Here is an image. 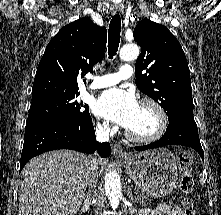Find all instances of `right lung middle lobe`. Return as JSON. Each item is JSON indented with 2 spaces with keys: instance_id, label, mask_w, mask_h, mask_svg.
<instances>
[{
  "instance_id": "obj_1",
  "label": "right lung middle lobe",
  "mask_w": 221,
  "mask_h": 215,
  "mask_svg": "<svg viewBox=\"0 0 221 215\" xmlns=\"http://www.w3.org/2000/svg\"><path fill=\"white\" fill-rule=\"evenodd\" d=\"M78 95V92L62 93L32 101L26 125L44 121L69 124L85 121L90 118L88 106L77 101Z\"/></svg>"
}]
</instances>
